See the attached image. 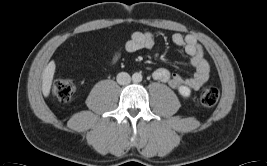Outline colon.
<instances>
[{
	"label": "colon",
	"mask_w": 267,
	"mask_h": 166,
	"mask_svg": "<svg viewBox=\"0 0 267 166\" xmlns=\"http://www.w3.org/2000/svg\"><path fill=\"white\" fill-rule=\"evenodd\" d=\"M75 81L70 78L57 80L53 86V94L61 103L67 104L75 92ZM220 92L216 86H205L200 93V101L204 106L212 107L217 104Z\"/></svg>",
	"instance_id": "obj_1"
}]
</instances>
